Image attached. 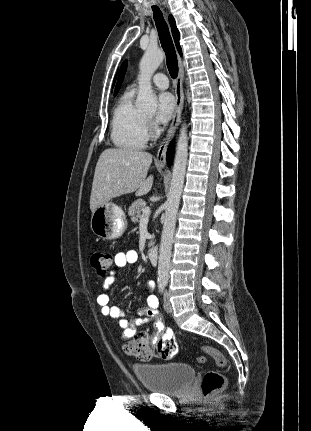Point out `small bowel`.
<instances>
[{"label": "small bowel", "instance_id": "obj_1", "mask_svg": "<svg viewBox=\"0 0 311 431\" xmlns=\"http://www.w3.org/2000/svg\"><path fill=\"white\" fill-rule=\"evenodd\" d=\"M138 258V253L135 250L119 252L115 255V268L108 273L103 287L97 296V303L100 306L101 313L118 320L119 326L123 329V338L132 337L135 334V328L137 326L143 325L149 321H153L156 331L151 337L152 341H156L158 336L162 333L163 337H174L171 330L164 329L163 320L158 312L159 300L157 296L153 294L155 289V283L153 281L147 282L146 288L149 295L146 299V306L139 308L136 311V316L128 314L120 307L110 305L108 288L117 279L120 269L127 265L135 264L138 261ZM141 334L149 338L146 333Z\"/></svg>", "mask_w": 311, "mask_h": 431}]
</instances>
